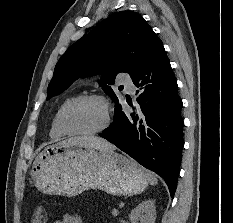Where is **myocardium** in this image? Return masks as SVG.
<instances>
[{
    "instance_id": "myocardium-1",
    "label": "myocardium",
    "mask_w": 233,
    "mask_h": 223,
    "mask_svg": "<svg viewBox=\"0 0 233 223\" xmlns=\"http://www.w3.org/2000/svg\"><path fill=\"white\" fill-rule=\"evenodd\" d=\"M90 100H97L103 104L104 109H105V113H106V121H105L104 125L100 129H98L94 132H76V131H73L67 123L68 112L70 111V109L74 105H76L80 102L90 101ZM110 125H111V114L109 112L107 101L102 95H97V94H86V95H80V96L74 97L73 99L68 101L63 106V108L61 109V111L58 115V126H59L60 130L62 132H64L65 134L70 135V136H76V137L97 136V135L104 133L110 127Z\"/></svg>"
}]
</instances>
